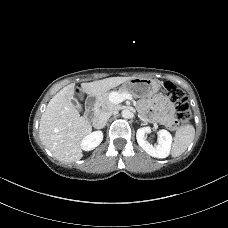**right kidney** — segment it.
<instances>
[{
  "instance_id": "obj_1",
  "label": "right kidney",
  "mask_w": 228,
  "mask_h": 228,
  "mask_svg": "<svg viewBox=\"0 0 228 228\" xmlns=\"http://www.w3.org/2000/svg\"><path fill=\"white\" fill-rule=\"evenodd\" d=\"M103 140V133L101 131H95L85 136L81 142V148L84 151H90L95 149Z\"/></svg>"
}]
</instances>
